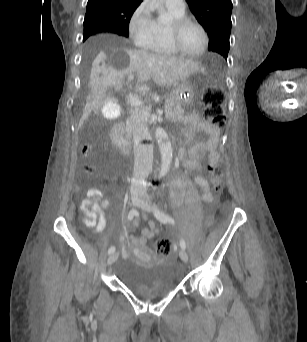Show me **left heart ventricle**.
Segmentation results:
<instances>
[{
  "instance_id": "left-heart-ventricle-1",
  "label": "left heart ventricle",
  "mask_w": 307,
  "mask_h": 342,
  "mask_svg": "<svg viewBox=\"0 0 307 342\" xmlns=\"http://www.w3.org/2000/svg\"><path fill=\"white\" fill-rule=\"evenodd\" d=\"M181 44L190 54L199 53L204 46V34L196 23H189L182 31Z\"/></svg>"
}]
</instances>
